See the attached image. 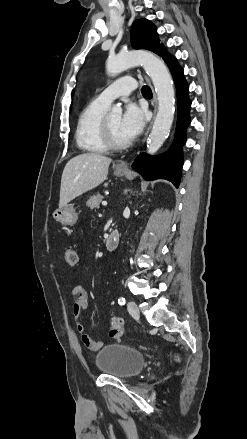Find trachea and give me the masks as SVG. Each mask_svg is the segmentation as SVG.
Segmentation results:
<instances>
[{"mask_svg": "<svg viewBox=\"0 0 247 439\" xmlns=\"http://www.w3.org/2000/svg\"><path fill=\"white\" fill-rule=\"evenodd\" d=\"M141 92H142L143 96H145V97H152L151 88L147 85H144L142 87Z\"/></svg>", "mask_w": 247, "mask_h": 439, "instance_id": "1", "label": "trachea"}]
</instances>
